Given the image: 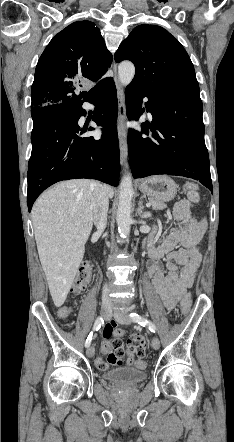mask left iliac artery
Returning <instances> with one entry per match:
<instances>
[{"mask_svg":"<svg viewBox=\"0 0 234 442\" xmlns=\"http://www.w3.org/2000/svg\"><path fill=\"white\" fill-rule=\"evenodd\" d=\"M130 317L134 322L140 324L141 326H147L151 332H156L157 329L155 324L147 320L146 318L141 317L137 313H130Z\"/></svg>","mask_w":234,"mask_h":442,"instance_id":"obj_1","label":"left iliac artery"}]
</instances>
